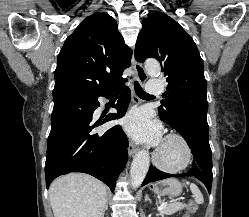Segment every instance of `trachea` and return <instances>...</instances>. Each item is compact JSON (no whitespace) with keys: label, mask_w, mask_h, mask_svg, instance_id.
Listing matches in <instances>:
<instances>
[{"label":"trachea","mask_w":249,"mask_h":217,"mask_svg":"<svg viewBox=\"0 0 249 217\" xmlns=\"http://www.w3.org/2000/svg\"><path fill=\"white\" fill-rule=\"evenodd\" d=\"M135 91L139 97H151L148 93H146L141 86L138 84V82H135ZM116 94H119V91H115Z\"/></svg>","instance_id":"trachea-1"}]
</instances>
